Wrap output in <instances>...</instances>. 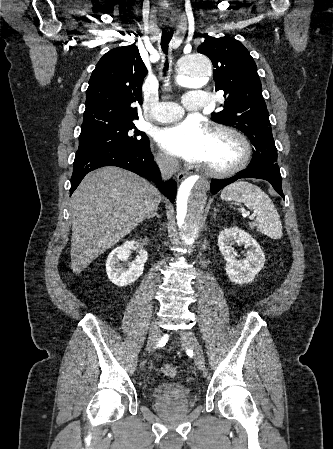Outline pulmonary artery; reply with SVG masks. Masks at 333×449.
I'll use <instances>...</instances> for the list:
<instances>
[{
  "mask_svg": "<svg viewBox=\"0 0 333 449\" xmlns=\"http://www.w3.org/2000/svg\"><path fill=\"white\" fill-rule=\"evenodd\" d=\"M209 103V96L201 90H191L183 96V105L190 110H199ZM183 107L174 102H160L154 105L152 116L159 122H170L183 115Z\"/></svg>",
  "mask_w": 333,
  "mask_h": 449,
  "instance_id": "e3ab8cb5",
  "label": "pulmonary artery"
}]
</instances>
